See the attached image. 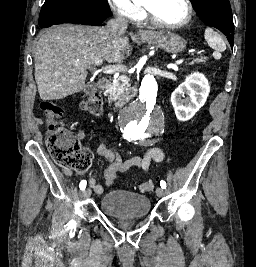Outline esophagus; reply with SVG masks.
I'll use <instances>...</instances> for the list:
<instances>
[{"label":"esophagus","mask_w":256,"mask_h":267,"mask_svg":"<svg viewBox=\"0 0 256 267\" xmlns=\"http://www.w3.org/2000/svg\"><path fill=\"white\" fill-rule=\"evenodd\" d=\"M143 36H150V34L148 32H144V31H139L137 33V37H143Z\"/></svg>","instance_id":"1"}]
</instances>
